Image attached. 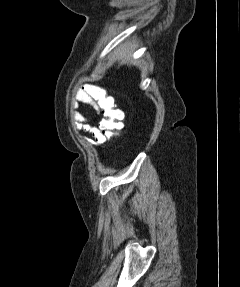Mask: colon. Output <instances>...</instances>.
I'll use <instances>...</instances> for the list:
<instances>
[{"mask_svg":"<svg viewBox=\"0 0 240 287\" xmlns=\"http://www.w3.org/2000/svg\"><path fill=\"white\" fill-rule=\"evenodd\" d=\"M91 95L103 115L100 122L102 135L107 139L118 137L123 127L122 112L115 107L112 98L104 96L96 90H93Z\"/></svg>","mask_w":240,"mask_h":287,"instance_id":"obj_1","label":"colon"}]
</instances>
